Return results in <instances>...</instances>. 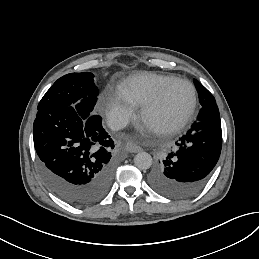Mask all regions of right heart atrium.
Segmentation results:
<instances>
[{
	"label": "right heart atrium",
	"mask_w": 259,
	"mask_h": 259,
	"mask_svg": "<svg viewBox=\"0 0 259 259\" xmlns=\"http://www.w3.org/2000/svg\"><path fill=\"white\" fill-rule=\"evenodd\" d=\"M102 116L116 128L125 127L133 122L140 113V106L121 88L107 86L99 99Z\"/></svg>",
	"instance_id": "obj_1"
}]
</instances>
